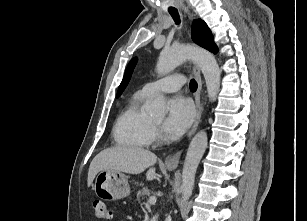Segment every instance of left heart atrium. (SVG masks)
Listing matches in <instances>:
<instances>
[{
	"label": "left heart atrium",
	"instance_id": "left-heart-atrium-1",
	"mask_svg": "<svg viewBox=\"0 0 307 221\" xmlns=\"http://www.w3.org/2000/svg\"><path fill=\"white\" fill-rule=\"evenodd\" d=\"M194 110L188 99L177 96L170 100L168 115L164 121L165 132L171 137L182 135L191 125Z\"/></svg>",
	"mask_w": 307,
	"mask_h": 221
}]
</instances>
